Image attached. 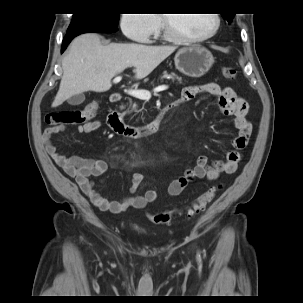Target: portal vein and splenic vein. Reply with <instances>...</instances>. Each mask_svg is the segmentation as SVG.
<instances>
[{"instance_id":"portal-vein-and-splenic-vein-1","label":"portal vein and splenic vein","mask_w":303,"mask_h":303,"mask_svg":"<svg viewBox=\"0 0 303 303\" xmlns=\"http://www.w3.org/2000/svg\"><path fill=\"white\" fill-rule=\"evenodd\" d=\"M120 80H121V76H117L114 78L113 82L117 83ZM167 89H168L167 85H160V86H157L156 88H154L153 91L160 92V91H165ZM127 93L140 100H149L151 98V92L148 90H144V89L129 90Z\"/></svg>"}]
</instances>
